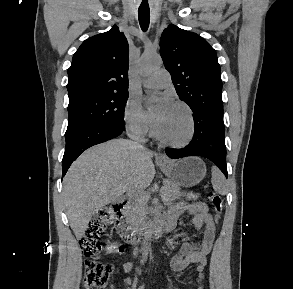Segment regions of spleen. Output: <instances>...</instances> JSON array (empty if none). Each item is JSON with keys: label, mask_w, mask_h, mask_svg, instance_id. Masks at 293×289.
<instances>
[{"label": "spleen", "mask_w": 293, "mask_h": 289, "mask_svg": "<svg viewBox=\"0 0 293 289\" xmlns=\"http://www.w3.org/2000/svg\"><path fill=\"white\" fill-rule=\"evenodd\" d=\"M212 178L211 183L213 189L221 195H225L227 193L226 180L223 174L216 168L212 167Z\"/></svg>", "instance_id": "3e777b00"}]
</instances>
